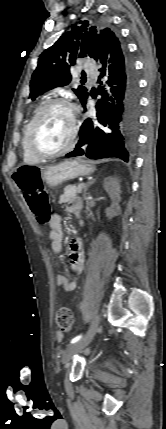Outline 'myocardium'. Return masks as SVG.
Returning <instances> with one entry per match:
<instances>
[{
    "label": "myocardium",
    "mask_w": 166,
    "mask_h": 429,
    "mask_svg": "<svg viewBox=\"0 0 166 429\" xmlns=\"http://www.w3.org/2000/svg\"><path fill=\"white\" fill-rule=\"evenodd\" d=\"M65 106L71 115V129H70V136H69V140L67 142V144L62 147L61 149L52 152V153H44L40 150H38L35 145H34V135L35 132L37 130L38 124L42 118V116L52 107L54 106ZM77 130H78V125H77V118H76V110L74 105L67 99L65 98H53L48 100L47 102H45L40 109L38 110V112L36 113V115L34 116L29 129H28V133H27V137H26V146L29 150V152L35 156L36 158L40 159V160H46V159H52V158H56L58 156H61L65 153H67L69 150L72 149V147L75 144V140H76V136H77Z\"/></svg>",
    "instance_id": "f54148a6"
}]
</instances>
